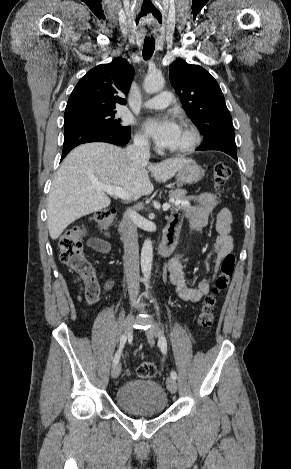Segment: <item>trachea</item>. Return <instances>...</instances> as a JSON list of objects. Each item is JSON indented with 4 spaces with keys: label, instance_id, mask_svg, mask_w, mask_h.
Instances as JSON below:
<instances>
[{
    "label": "trachea",
    "instance_id": "3493384b",
    "mask_svg": "<svg viewBox=\"0 0 291 469\" xmlns=\"http://www.w3.org/2000/svg\"><path fill=\"white\" fill-rule=\"evenodd\" d=\"M154 48H155L154 39L145 38L143 51H142L144 60H149L152 57L154 53Z\"/></svg>",
    "mask_w": 291,
    "mask_h": 469
}]
</instances>
